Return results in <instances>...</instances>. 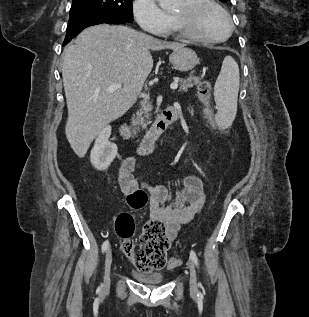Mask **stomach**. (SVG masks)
<instances>
[{"instance_id": "obj_1", "label": "stomach", "mask_w": 309, "mask_h": 317, "mask_svg": "<svg viewBox=\"0 0 309 317\" xmlns=\"http://www.w3.org/2000/svg\"><path fill=\"white\" fill-rule=\"evenodd\" d=\"M169 60L174 69L181 72L192 70L199 61L196 52L186 47L174 50L170 55Z\"/></svg>"}]
</instances>
